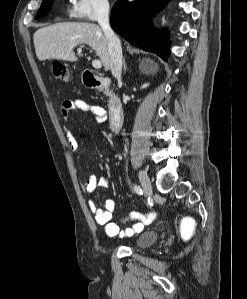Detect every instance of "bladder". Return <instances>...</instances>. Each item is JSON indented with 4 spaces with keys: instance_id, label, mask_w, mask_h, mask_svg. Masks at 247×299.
<instances>
[{
    "instance_id": "31cf9c89",
    "label": "bladder",
    "mask_w": 247,
    "mask_h": 299,
    "mask_svg": "<svg viewBox=\"0 0 247 299\" xmlns=\"http://www.w3.org/2000/svg\"><path fill=\"white\" fill-rule=\"evenodd\" d=\"M158 238V232L154 230L144 231L134 239V245L137 248H147L153 245L158 240Z\"/></svg>"
}]
</instances>
